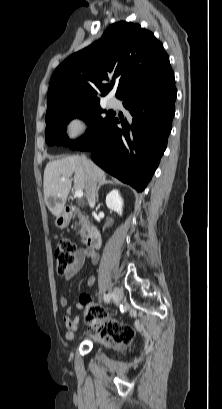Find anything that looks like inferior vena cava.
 Segmentation results:
<instances>
[{
	"label": "inferior vena cava",
	"instance_id": "602c4592",
	"mask_svg": "<svg viewBox=\"0 0 222 409\" xmlns=\"http://www.w3.org/2000/svg\"><path fill=\"white\" fill-rule=\"evenodd\" d=\"M83 164L87 173V188H86V198L89 206L93 208L95 206V196L97 182L99 181L91 162L87 159L85 155L82 156Z\"/></svg>",
	"mask_w": 222,
	"mask_h": 409
}]
</instances>
